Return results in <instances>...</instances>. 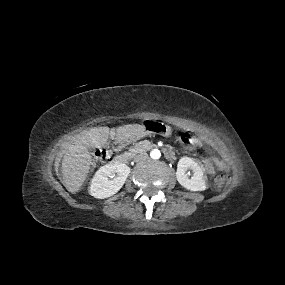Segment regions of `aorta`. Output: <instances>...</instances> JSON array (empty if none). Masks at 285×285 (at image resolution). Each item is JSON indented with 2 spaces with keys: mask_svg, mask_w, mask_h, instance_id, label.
Returning a JSON list of instances; mask_svg holds the SVG:
<instances>
[{
  "mask_svg": "<svg viewBox=\"0 0 285 285\" xmlns=\"http://www.w3.org/2000/svg\"><path fill=\"white\" fill-rule=\"evenodd\" d=\"M150 157L154 160H157L161 157V153L158 149H153L151 152H150Z\"/></svg>",
  "mask_w": 285,
  "mask_h": 285,
  "instance_id": "1",
  "label": "aorta"
}]
</instances>
